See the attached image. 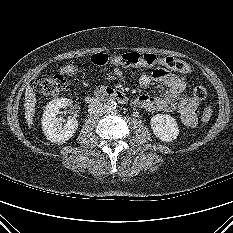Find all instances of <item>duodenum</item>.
<instances>
[{
  "label": "duodenum",
  "instance_id": "obj_1",
  "mask_svg": "<svg viewBox=\"0 0 233 233\" xmlns=\"http://www.w3.org/2000/svg\"><path fill=\"white\" fill-rule=\"evenodd\" d=\"M102 99H115L120 103H126L128 101L123 92L111 87H98L94 91V97L90 100V103Z\"/></svg>",
  "mask_w": 233,
  "mask_h": 233
}]
</instances>
